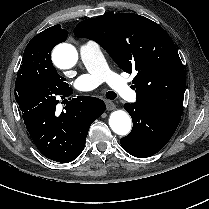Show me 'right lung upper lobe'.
I'll use <instances>...</instances> for the list:
<instances>
[{
	"instance_id": "obj_1",
	"label": "right lung upper lobe",
	"mask_w": 209,
	"mask_h": 209,
	"mask_svg": "<svg viewBox=\"0 0 209 209\" xmlns=\"http://www.w3.org/2000/svg\"><path fill=\"white\" fill-rule=\"evenodd\" d=\"M43 32L51 34L52 38L55 41V46L58 43L64 42L68 36V32L64 29H61V26L59 24L54 25V26L44 30Z\"/></svg>"
}]
</instances>
